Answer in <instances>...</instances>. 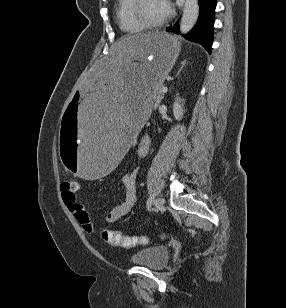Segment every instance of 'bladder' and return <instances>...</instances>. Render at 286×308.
<instances>
[{
    "label": "bladder",
    "instance_id": "bladder-1",
    "mask_svg": "<svg viewBox=\"0 0 286 308\" xmlns=\"http://www.w3.org/2000/svg\"><path fill=\"white\" fill-rule=\"evenodd\" d=\"M170 250L166 246H150L137 251L131 262L153 270L162 269L168 262Z\"/></svg>",
    "mask_w": 286,
    "mask_h": 308
}]
</instances>
